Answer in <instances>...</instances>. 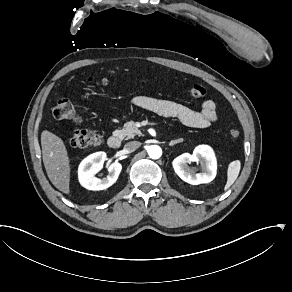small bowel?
I'll list each match as a JSON object with an SVG mask.
<instances>
[{
  "instance_id": "obj_1",
  "label": "small bowel",
  "mask_w": 292,
  "mask_h": 292,
  "mask_svg": "<svg viewBox=\"0 0 292 292\" xmlns=\"http://www.w3.org/2000/svg\"><path fill=\"white\" fill-rule=\"evenodd\" d=\"M132 103L139 108L163 116L175 117L184 125L193 128H206L217 120L216 105L212 100L203 101L199 110H193L170 100L157 99L144 95L133 97Z\"/></svg>"
}]
</instances>
